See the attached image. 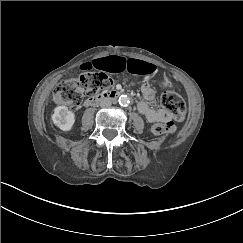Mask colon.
I'll return each mask as SVG.
<instances>
[{
  "mask_svg": "<svg viewBox=\"0 0 243 243\" xmlns=\"http://www.w3.org/2000/svg\"><path fill=\"white\" fill-rule=\"evenodd\" d=\"M112 79L104 73L85 72L77 78L59 83L54 91L53 98L57 104L78 107L84 94H95L108 89ZM161 105L172 119L181 121L185 116V102L180 95L172 91H165L161 96ZM155 135H169L175 131V122L168 120L153 125Z\"/></svg>",
  "mask_w": 243,
  "mask_h": 243,
  "instance_id": "colon-1",
  "label": "colon"
}]
</instances>
